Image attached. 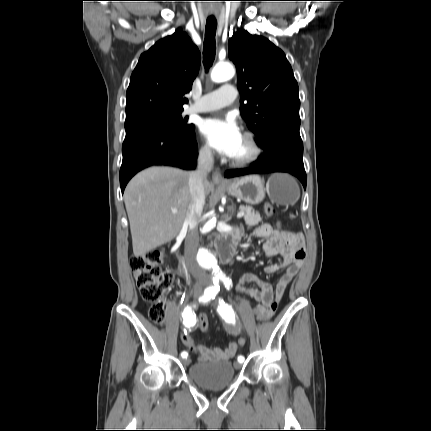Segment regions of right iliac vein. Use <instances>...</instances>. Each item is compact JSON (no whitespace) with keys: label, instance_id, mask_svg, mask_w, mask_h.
Listing matches in <instances>:
<instances>
[{"label":"right iliac vein","instance_id":"obj_1","mask_svg":"<svg viewBox=\"0 0 431 431\" xmlns=\"http://www.w3.org/2000/svg\"><path fill=\"white\" fill-rule=\"evenodd\" d=\"M199 296H200V292L196 291V292L194 293V298H195V299H197ZM189 362H190V360H189L188 358H185V359L183 360V364H184L185 366H186V365H188V364H189Z\"/></svg>","mask_w":431,"mask_h":431}]
</instances>
